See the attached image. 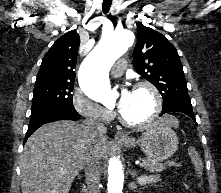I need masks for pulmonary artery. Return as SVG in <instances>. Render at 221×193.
Listing matches in <instances>:
<instances>
[{
    "instance_id": "obj_1",
    "label": "pulmonary artery",
    "mask_w": 221,
    "mask_h": 193,
    "mask_svg": "<svg viewBox=\"0 0 221 193\" xmlns=\"http://www.w3.org/2000/svg\"><path fill=\"white\" fill-rule=\"evenodd\" d=\"M126 68V61L125 59H120L116 65L112 68V75L114 76H121Z\"/></svg>"
}]
</instances>
